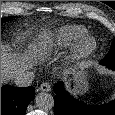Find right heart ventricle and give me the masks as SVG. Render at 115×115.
I'll use <instances>...</instances> for the list:
<instances>
[{
  "instance_id": "1",
  "label": "right heart ventricle",
  "mask_w": 115,
  "mask_h": 115,
  "mask_svg": "<svg viewBox=\"0 0 115 115\" xmlns=\"http://www.w3.org/2000/svg\"><path fill=\"white\" fill-rule=\"evenodd\" d=\"M87 34L80 25L63 26L52 33L40 35L32 44L37 54H47L56 48H62L79 42Z\"/></svg>"
}]
</instances>
